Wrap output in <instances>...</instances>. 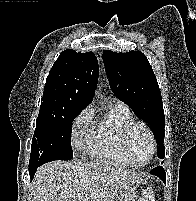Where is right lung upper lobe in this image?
Masks as SVG:
<instances>
[{
  "label": "right lung upper lobe",
  "instance_id": "right-lung-upper-lobe-1",
  "mask_svg": "<svg viewBox=\"0 0 196 201\" xmlns=\"http://www.w3.org/2000/svg\"><path fill=\"white\" fill-rule=\"evenodd\" d=\"M98 72V62L92 52L64 50L46 79L39 113L85 108L93 100Z\"/></svg>",
  "mask_w": 196,
  "mask_h": 201
}]
</instances>
